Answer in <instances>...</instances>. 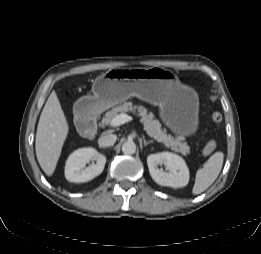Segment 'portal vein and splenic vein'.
I'll return each mask as SVG.
<instances>
[{"label":"portal vein and splenic vein","instance_id":"18ae733b","mask_svg":"<svg viewBox=\"0 0 261 254\" xmlns=\"http://www.w3.org/2000/svg\"><path fill=\"white\" fill-rule=\"evenodd\" d=\"M132 120V117L122 113L119 114L117 116H115L112 120H111V126H120L122 124H125L126 122H129Z\"/></svg>","mask_w":261,"mask_h":254}]
</instances>
